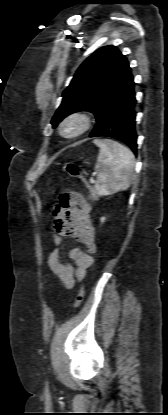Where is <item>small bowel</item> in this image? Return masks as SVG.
<instances>
[{"instance_id":"c3829d8e","label":"small bowel","mask_w":168,"mask_h":415,"mask_svg":"<svg viewBox=\"0 0 168 415\" xmlns=\"http://www.w3.org/2000/svg\"><path fill=\"white\" fill-rule=\"evenodd\" d=\"M59 202L53 211L55 230L60 235H70L81 243L85 250L74 248L69 257L75 266L61 260L59 245L61 237L53 235L55 248L48 258V266L66 289H71L83 280L87 269L93 262L92 255L96 252L95 230L90 218V204L77 192H58Z\"/></svg>"}]
</instances>
